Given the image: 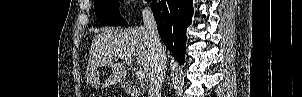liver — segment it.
I'll return each instance as SVG.
<instances>
[{"mask_svg":"<svg viewBox=\"0 0 302 97\" xmlns=\"http://www.w3.org/2000/svg\"><path fill=\"white\" fill-rule=\"evenodd\" d=\"M134 57L145 76L149 78L152 63V51L145 27L127 29L104 28L92 41L86 75L90 83L98 88L100 85L98 69L112 68L107 84H115L125 79L126 64L118 61L119 56Z\"/></svg>","mask_w":302,"mask_h":97,"instance_id":"obj_1","label":"liver"}]
</instances>
